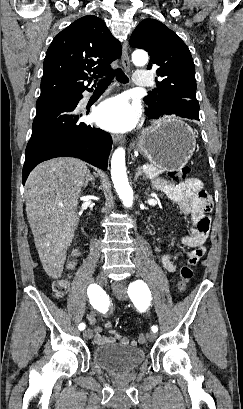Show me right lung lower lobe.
<instances>
[{
	"label": "right lung lower lobe",
	"mask_w": 243,
	"mask_h": 409,
	"mask_svg": "<svg viewBox=\"0 0 243 409\" xmlns=\"http://www.w3.org/2000/svg\"><path fill=\"white\" fill-rule=\"evenodd\" d=\"M82 95L37 100L32 135L25 151L23 184L42 161L61 157L80 158L107 170L112 146L109 133L79 121L77 104Z\"/></svg>",
	"instance_id": "1"
}]
</instances>
